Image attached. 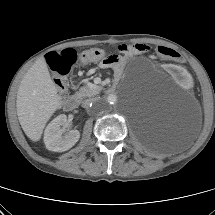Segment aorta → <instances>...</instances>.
Masks as SVG:
<instances>
[{"label":"aorta","instance_id":"1","mask_svg":"<svg viewBox=\"0 0 215 215\" xmlns=\"http://www.w3.org/2000/svg\"><path fill=\"white\" fill-rule=\"evenodd\" d=\"M117 98L115 95L111 94L106 98L105 103L102 104H106V105H112L116 102Z\"/></svg>","mask_w":215,"mask_h":215}]
</instances>
